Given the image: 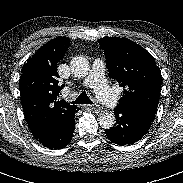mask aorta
I'll return each instance as SVG.
<instances>
[{
  "label": "aorta",
  "mask_w": 183,
  "mask_h": 183,
  "mask_svg": "<svg viewBox=\"0 0 183 183\" xmlns=\"http://www.w3.org/2000/svg\"><path fill=\"white\" fill-rule=\"evenodd\" d=\"M70 68L72 73L76 77H85L88 75L90 70V65L88 59L83 56H76L70 62ZM116 121L115 115L113 113H102L99 117V124L105 129H110L114 126Z\"/></svg>",
  "instance_id": "1"
}]
</instances>
